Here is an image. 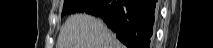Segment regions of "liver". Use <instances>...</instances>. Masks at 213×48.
Wrapping results in <instances>:
<instances>
[{
    "label": "liver",
    "mask_w": 213,
    "mask_h": 48,
    "mask_svg": "<svg viewBox=\"0 0 213 48\" xmlns=\"http://www.w3.org/2000/svg\"><path fill=\"white\" fill-rule=\"evenodd\" d=\"M56 48H124V45L101 19L76 14L62 25Z\"/></svg>",
    "instance_id": "obj_1"
}]
</instances>
